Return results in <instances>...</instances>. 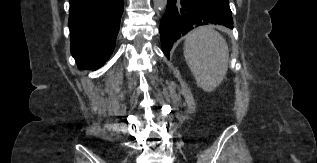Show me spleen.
<instances>
[{"instance_id":"3e777b00","label":"spleen","mask_w":317,"mask_h":163,"mask_svg":"<svg viewBox=\"0 0 317 163\" xmlns=\"http://www.w3.org/2000/svg\"><path fill=\"white\" fill-rule=\"evenodd\" d=\"M184 57L198 87L206 92L214 90L227 73V43L221 34L211 27H199L186 35Z\"/></svg>"}]
</instances>
